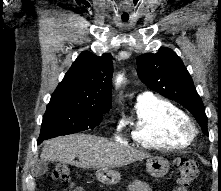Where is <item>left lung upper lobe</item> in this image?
I'll return each instance as SVG.
<instances>
[{"instance_id":"left-lung-upper-lobe-1","label":"left lung upper lobe","mask_w":221,"mask_h":191,"mask_svg":"<svg viewBox=\"0 0 221 191\" xmlns=\"http://www.w3.org/2000/svg\"><path fill=\"white\" fill-rule=\"evenodd\" d=\"M138 76L150 89L187 108L203 132H207V116L193 80L180 57L170 48L146 53L137 58Z\"/></svg>"}]
</instances>
